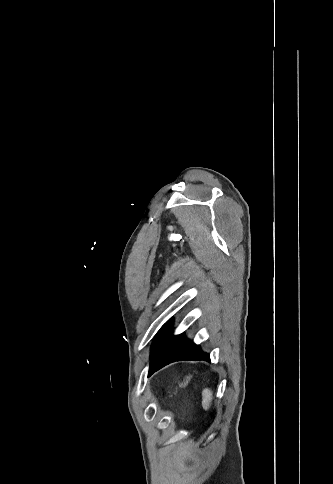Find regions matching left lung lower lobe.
<instances>
[{"instance_id": "0a47b994", "label": "left lung lower lobe", "mask_w": 333, "mask_h": 484, "mask_svg": "<svg viewBox=\"0 0 333 484\" xmlns=\"http://www.w3.org/2000/svg\"><path fill=\"white\" fill-rule=\"evenodd\" d=\"M172 320L165 323L153 341L149 375L165 365L180 360H207L210 356L204 353L199 345L189 341L184 333L172 335Z\"/></svg>"}]
</instances>
